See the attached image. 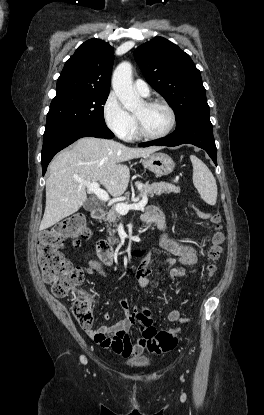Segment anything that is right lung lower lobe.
Returning a JSON list of instances; mask_svg holds the SVG:
<instances>
[{
	"mask_svg": "<svg viewBox=\"0 0 264 415\" xmlns=\"http://www.w3.org/2000/svg\"><path fill=\"white\" fill-rule=\"evenodd\" d=\"M93 136L96 138L111 139L114 134L107 128L106 124H79L66 127L48 134H44L41 163L43 175L49 162L54 155L79 138Z\"/></svg>",
	"mask_w": 264,
	"mask_h": 415,
	"instance_id": "98d812e1",
	"label": "right lung lower lobe"
}]
</instances>
